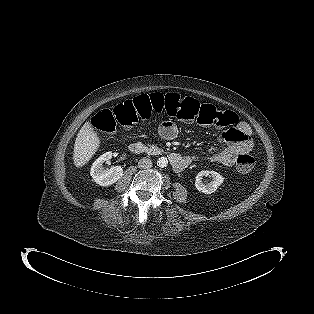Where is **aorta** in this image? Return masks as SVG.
<instances>
[{
	"label": "aorta",
	"instance_id": "1",
	"mask_svg": "<svg viewBox=\"0 0 314 314\" xmlns=\"http://www.w3.org/2000/svg\"><path fill=\"white\" fill-rule=\"evenodd\" d=\"M168 165V159L166 157H161L157 160V166L164 168Z\"/></svg>",
	"mask_w": 314,
	"mask_h": 314
}]
</instances>
